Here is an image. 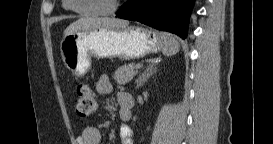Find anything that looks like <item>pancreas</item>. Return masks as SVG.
Here are the masks:
<instances>
[{
    "instance_id": "pancreas-1",
    "label": "pancreas",
    "mask_w": 273,
    "mask_h": 144,
    "mask_svg": "<svg viewBox=\"0 0 273 144\" xmlns=\"http://www.w3.org/2000/svg\"><path fill=\"white\" fill-rule=\"evenodd\" d=\"M136 63H129L119 67L114 73V80L119 85H125L130 82L137 74Z\"/></svg>"
}]
</instances>
